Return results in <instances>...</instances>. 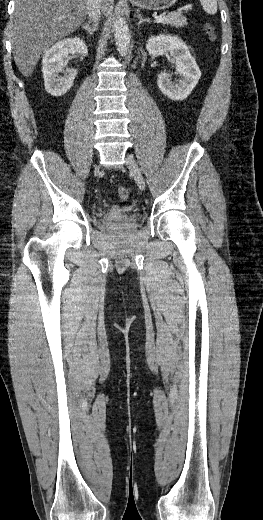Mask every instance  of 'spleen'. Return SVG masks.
Returning a JSON list of instances; mask_svg holds the SVG:
<instances>
[{
  "label": "spleen",
  "mask_w": 263,
  "mask_h": 520,
  "mask_svg": "<svg viewBox=\"0 0 263 520\" xmlns=\"http://www.w3.org/2000/svg\"><path fill=\"white\" fill-rule=\"evenodd\" d=\"M203 10L208 14H215L217 12V1L216 0H200Z\"/></svg>",
  "instance_id": "obj_1"
}]
</instances>
